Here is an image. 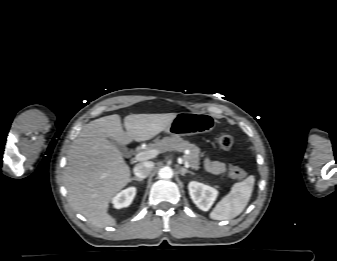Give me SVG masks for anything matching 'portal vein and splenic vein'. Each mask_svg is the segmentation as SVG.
Masks as SVG:
<instances>
[{
	"label": "portal vein and splenic vein",
	"instance_id": "18ae733b",
	"mask_svg": "<svg viewBox=\"0 0 337 261\" xmlns=\"http://www.w3.org/2000/svg\"><path fill=\"white\" fill-rule=\"evenodd\" d=\"M160 153V151L158 149H150V150H145L142 152H139L135 155L134 159L136 161H145L151 158H154L155 156H157ZM184 166L186 168H189V163L188 162H184Z\"/></svg>",
	"mask_w": 337,
	"mask_h": 261
}]
</instances>
